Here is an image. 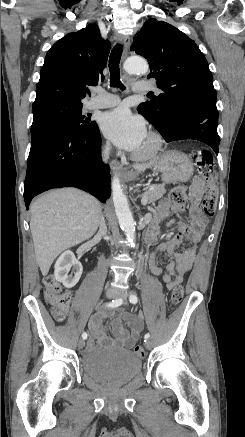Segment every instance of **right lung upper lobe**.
I'll use <instances>...</instances> for the list:
<instances>
[{
	"mask_svg": "<svg viewBox=\"0 0 245 437\" xmlns=\"http://www.w3.org/2000/svg\"><path fill=\"white\" fill-rule=\"evenodd\" d=\"M110 51L96 24L69 33L48 51L36 86L33 107L53 102L81 104L90 94L88 85L103 80Z\"/></svg>",
	"mask_w": 245,
	"mask_h": 437,
	"instance_id": "cb5924a9",
	"label": "right lung upper lobe"
}]
</instances>
